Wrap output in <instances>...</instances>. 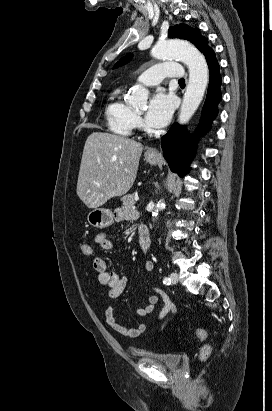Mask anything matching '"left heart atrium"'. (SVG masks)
<instances>
[{
    "label": "left heart atrium",
    "instance_id": "1",
    "mask_svg": "<svg viewBox=\"0 0 272 411\" xmlns=\"http://www.w3.org/2000/svg\"><path fill=\"white\" fill-rule=\"evenodd\" d=\"M173 109V97L164 91H158L149 101L145 121L151 127L161 128L169 122Z\"/></svg>",
    "mask_w": 272,
    "mask_h": 411
}]
</instances>
